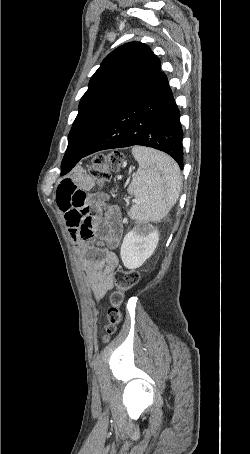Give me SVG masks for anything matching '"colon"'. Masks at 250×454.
<instances>
[{
	"mask_svg": "<svg viewBox=\"0 0 250 454\" xmlns=\"http://www.w3.org/2000/svg\"><path fill=\"white\" fill-rule=\"evenodd\" d=\"M122 160L123 155L119 151L99 154L93 159L88 168V173L96 184L102 186L109 181L111 174L119 169ZM139 279L140 275L134 269H119L115 272L116 289L109 296L111 307L107 312L106 337L117 331V326L122 320L120 306L124 301L125 294L137 285Z\"/></svg>",
	"mask_w": 250,
	"mask_h": 454,
	"instance_id": "5ec220e1",
	"label": "colon"
}]
</instances>
